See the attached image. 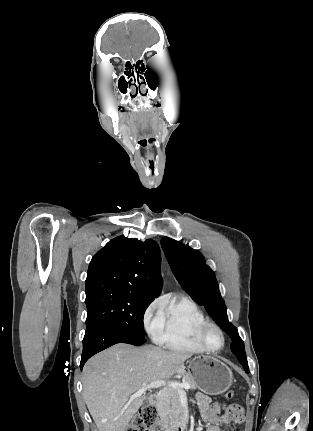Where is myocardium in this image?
Listing matches in <instances>:
<instances>
[{"label":"myocardium","instance_id":"f54148a6","mask_svg":"<svg viewBox=\"0 0 313 431\" xmlns=\"http://www.w3.org/2000/svg\"><path fill=\"white\" fill-rule=\"evenodd\" d=\"M210 328H213V329L217 330V331H218V333H219V334H220V336H221L222 343H221V346H220L219 348H211V347L207 344V342H206V340H205V334H206V332H207ZM198 341H199L200 345H201V346H202L206 351H208V352H218V351L222 350V349H223V347L225 346L226 339H225V334H224V332H223L222 328H221L218 324H216V323H214V322H211V321H206V322L201 326V328L199 329V332H198Z\"/></svg>","mask_w":313,"mask_h":431}]
</instances>
